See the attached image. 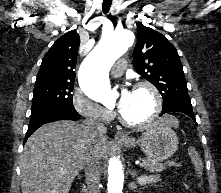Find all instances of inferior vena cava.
I'll return each instance as SVG.
<instances>
[{
	"mask_svg": "<svg viewBox=\"0 0 221 193\" xmlns=\"http://www.w3.org/2000/svg\"><path fill=\"white\" fill-rule=\"evenodd\" d=\"M83 126L90 133L93 140L102 137L107 131L106 127L95 118L84 120ZM84 170L89 193H100V165L99 158L95 153L86 155Z\"/></svg>",
	"mask_w": 221,
	"mask_h": 193,
	"instance_id": "inferior-vena-cava-1",
	"label": "inferior vena cava"
}]
</instances>
